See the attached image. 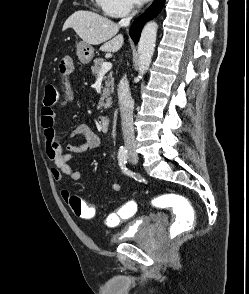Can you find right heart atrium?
<instances>
[{"label":"right heart atrium","mask_w":249,"mask_h":294,"mask_svg":"<svg viewBox=\"0 0 249 294\" xmlns=\"http://www.w3.org/2000/svg\"><path fill=\"white\" fill-rule=\"evenodd\" d=\"M101 8L111 17H124L132 13L139 5V0H101Z\"/></svg>","instance_id":"d8ad5b80"}]
</instances>
